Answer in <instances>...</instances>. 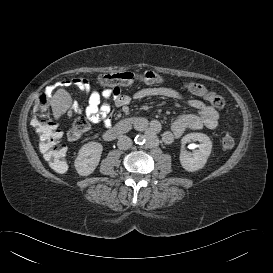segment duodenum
Wrapping results in <instances>:
<instances>
[{"label": "duodenum", "mask_w": 273, "mask_h": 273, "mask_svg": "<svg viewBox=\"0 0 273 273\" xmlns=\"http://www.w3.org/2000/svg\"><path fill=\"white\" fill-rule=\"evenodd\" d=\"M134 120L131 118L123 119L117 122L113 127L108 129L104 133V139L106 141L114 140L124 134H126L133 126Z\"/></svg>", "instance_id": "1"}]
</instances>
